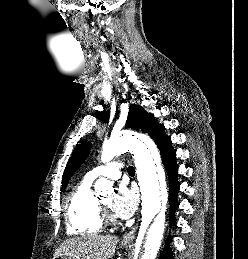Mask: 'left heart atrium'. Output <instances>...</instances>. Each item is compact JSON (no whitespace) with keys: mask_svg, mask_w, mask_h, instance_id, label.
I'll return each instance as SVG.
<instances>
[{"mask_svg":"<svg viewBox=\"0 0 248 259\" xmlns=\"http://www.w3.org/2000/svg\"><path fill=\"white\" fill-rule=\"evenodd\" d=\"M137 203L138 197L135 190L120 184L111 202V208L118 217L129 218L134 214Z\"/></svg>","mask_w":248,"mask_h":259,"instance_id":"39dd6f15","label":"left heart atrium"}]
</instances>
